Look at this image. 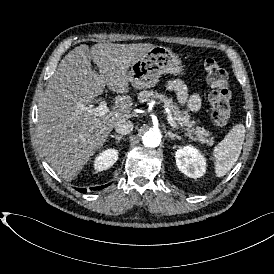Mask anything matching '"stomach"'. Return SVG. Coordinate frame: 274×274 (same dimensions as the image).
<instances>
[{
	"label": "stomach",
	"mask_w": 274,
	"mask_h": 274,
	"mask_svg": "<svg viewBox=\"0 0 274 274\" xmlns=\"http://www.w3.org/2000/svg\"><path fill=\"white\" fill-rule=\"evenodd\" d=\"M183 75L184 68L179 56L169 48L155 46L142 60L131 65V84L137 89L154 87L163 74Z\"/></svg>",
	"instance_id": "obj_1"
}]
</instances>
